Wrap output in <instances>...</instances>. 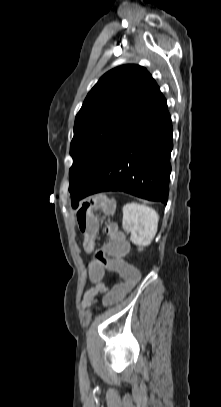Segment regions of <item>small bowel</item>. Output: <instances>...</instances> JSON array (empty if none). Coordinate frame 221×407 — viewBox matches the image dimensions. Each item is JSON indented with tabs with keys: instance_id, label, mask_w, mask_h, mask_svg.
I'll use <instances>...</instances> for the list:
<instances>
[{
	"instance_id": "1",
	"label": "small bowel",
	"mask_w": 221,
	"mask_h": 407,
	"mask_svg": "<svg viewBox=\"0 0 221 407\" xmlns=\"http://www.w3.org/2000/svg\"><path fill=\"white\" fill-rule=\"evenodd\" d=\"M102 292L105 293L107 292V288L105 287L104 284L89 288L83 296L82 300L83 307L87 309L92 308L93 305L97 302V295Z\"/></svg>"
}]
</instances>
